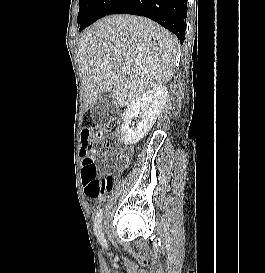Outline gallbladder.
<instances>
[{
    "instance_id": "gallbladder-1",
    "label": "gallbladder",
    "mask_w": 265,
    "mask_h": 273,
    "mask_svg": "<svg viewBox=\"0 0 265 273\" xmlns=\"http://www.w3.org/2000/svg\"><path fill=\"white\" fill-rule=\"evenodd\" d=\"M118 108L114 105L112 93L104 92L98 98L97 103L92 108L91 116L97 122H108L113 119Z\"/></svg>"
}]
</instances>
